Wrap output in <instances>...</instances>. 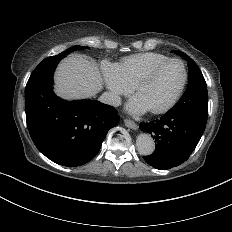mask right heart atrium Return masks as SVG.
Returning <instances> with one entry per match:
<instances>
[{"label": "right heart atrium", "instance_id": "right-heart-atrium-1", "mask_svg": "<svg viewBox=\"0 0 232 232\" xmlns=\"http://www.w3.org/2000/svg\"><path fill=\"white\" fill-rule=\"evenodd\" d=\"M98 69L102 76V82L105 84L107 90L113 91L119 96L129 92L130 87L120 78L117 64L103 60L100 62Z\"/></svg>", "mask_w": 232, "mask_h": 232}]
</instances>
